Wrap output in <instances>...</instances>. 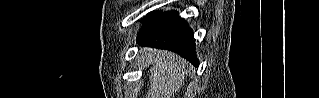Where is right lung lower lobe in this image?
<instances>
[{"mask_svg":"<svg viewBox=\"0 0 319 98\" xmlns=\"http://www.w3.org/2000/svg\"><path fill=\"white\" fill-rule=\"evenodd\" d=\"M137 43L143 46L168 49L198 66L194 53L193 34L177 12H166L156 16L147 15L140 30Z\"/></svg>","mask_w":319,"mask_h":98,"instance_id":"98d812e1","label":"right lung lower lobe"}]
</instances>
